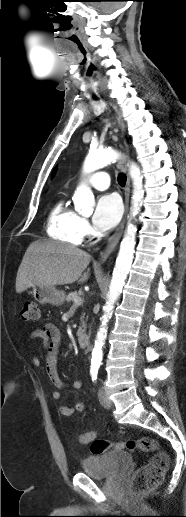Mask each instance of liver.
<instances>
[{
  "label": "liver",
  "mask_w": 186,
  "mask_h": 517,
  "mask_svg": "<svg viewBox=\"0 0 186 517\" xmlns=\"http://www.w3.org/2000/svg\"><path fill=\"white\" fill-rule=\"evenodd\" d=\"M91 256L68 244L35 241L27 248L16 277V292L30 287L84 283L89 278ZM84 272V273H83Z\"/></svg>",
  "instance_id": "obj_1"
}]
</instances>
